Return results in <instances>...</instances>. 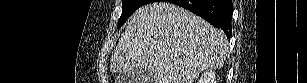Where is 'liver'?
Here are the masks:
<instances>
[{
  "instance_id": "6515ba94",
  "label": "liver",
  "mask_w": 307,
  "mask_h": 83,
  "mask_svg": "<svg viewBox=\"0 0 307 83\" xmlns=\"http://www.w3.org/2000/svg\"><path fill=\"white\" fill-rule=\"evenodd\" d=\"M227 50L222 30L180 6L153 2L134 13L111 55L110 70L148 69L154 83H193L203 70L222 68Z\"/></svg>"
}]
</instances>
